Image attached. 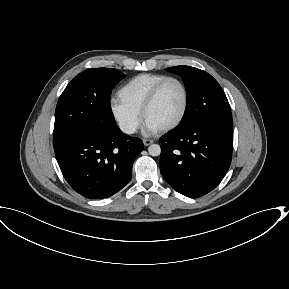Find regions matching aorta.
Segmentation results:
<instances>
[{"mask_svg":"<svg viewBox=\"0 0 289 289\" xmlns=\"http://www.w3.org/2000/svg\"><path fill=\"white\" fill-rule=\"evenodd\" d=\"M148 152L151 156H159L161 153V147L158 144H151L148 147Z\"/></svg>","mask_w":289,"mask_h":289,"instance_id":"1","label":"aorta"}]
</instances>
